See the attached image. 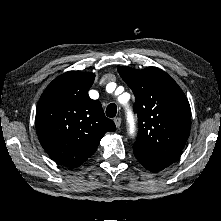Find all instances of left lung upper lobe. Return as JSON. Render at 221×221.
<instances>
[{
    "mask_svg": "<svg viewBox=\"0 0 221 221\" xmlns=\"http://www.w3.org/2000/svg\"><path fill=\"white\" fill-rule=\"evenodd\" d=\"M118 72L135 95L139 132L133 150L174 162L184 148L191 127V109L183 91L156 67L135 70L120 66Z\"/></svg>",
    "mask_w": 221,
    "mask_h": 221,
    "instance_id": "5c2ea615",
    "label": "left lung upper lobe"
}]
</instances>
